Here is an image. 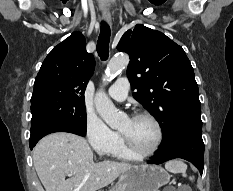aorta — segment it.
I'll list each match as a JSON object with an SVG mask.
<instances>
[{"label":"aorta","instance_id":"obj_1","mask_svg":"<svg viewBox=\"0 0 233 191\" xmlns=\"http://www.w3.org/2000/svg\"><path fill=\"white\" fill-rule=\"evenodd\" d=\"M129 63V56L125 53H121L109 62L106 75L103 77V81H108L110 77L121 71ZM95 107L100 117L108 124L111 128H118L120 122L125 115L120 113L114 106L112 101L106 96L105 92L99 91L95 97Z\"/></svg>","mask_w":233,"mask_h":191}]
</instances>
